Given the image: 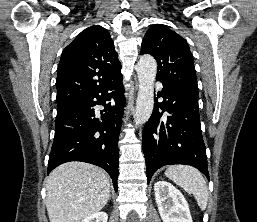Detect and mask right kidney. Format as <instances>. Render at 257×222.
Wrapping results in <instances>:
<instances>
[{
    "label": "right kidney",
    "instance_id": "ca27d5eb",
    "mask_svg": "<svg viewBox=\"0 0 257 222\" xmlns=\"http://www.w3.org/2000/svg\"><path fill=\"white\" fill-rule=\"evenodd\" d=\"M108 215L105 212H96L85 219H83L81 222H107Z\"/></svg>",
    "mask_w": 257,
    "mask_h": 222
}]
</instances>
